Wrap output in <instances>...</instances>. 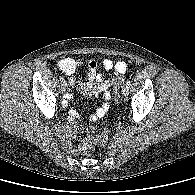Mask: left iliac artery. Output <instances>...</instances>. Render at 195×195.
I'll return each instance as SVG.
<instances>
[{
    "label": "left iliac artery",
    "instance_id": "44dca946",
    "mask_svg": "<svg viewBox=\"0 0 195 195\" xmlns=\"http://www.w3.org/2000/svg\"><path fill=\"white\" fill-rule=\"evenodd\" d=\"M126 84L129 86L131 84V81L127 80Z\"/></svg>",
    "mask_w": 195,
    "mask_h": 195
}]
</instances>
